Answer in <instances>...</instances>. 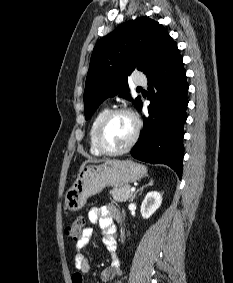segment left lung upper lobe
Returning a JSON list of instances; mask_svg holds the SVG:
<instances>
[{
  "label": "left lung upper lobe",
  "mask_w": 233,
  "mask_h": 283,
  "mask_svg": "<svg viewBox=\"0 0 233 283\" xmlns=\"http://www.w3.org/2000/svg\"><path fill=\"white\" fill-rule=\"evenodd\" d=\"M176 43L158 22L139 17L121 24L101 38L92 52L84 91V114L88 119L108 97L128 94L127 76L135 69L146 76ZM138 108L140 97L133 101Z\"/></svg>",
  "instance_id": "left-lung-upper-lobe-1"
}]
</instances>
